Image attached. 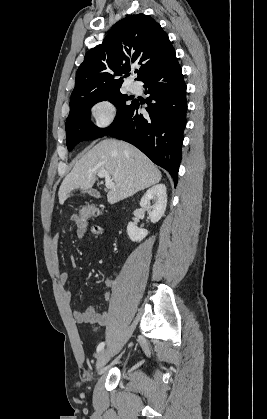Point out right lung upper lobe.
<instances>
[{"label":"right lung upper lobe","instance_id":"obj_1","mask_svg":"<svg viewBox=\"0 0 267 419\" xmlns=\"http://www.w3.org/2000/svg\"><path fill=\"white\" fill-rule=\"evenodd\" d=\"M175 61V50L160 24L148 15H129L113 26L102 44L86 53L70 102L119 90L135 64L140 65L136 80L142 81Z\"/></svg>","mask_w":267,"mask_h":419}]
</instances>
